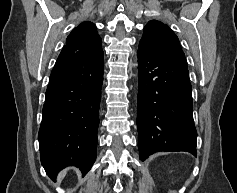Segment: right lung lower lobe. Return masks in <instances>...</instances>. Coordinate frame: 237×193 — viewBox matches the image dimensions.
<instances>
[{
  "mask_svg": "<svg viewBox=\"0 0 237 193\" xmlns=\"http://www.w3.org/2000/svg\"><path fill=\"white\" fill-rule=\"evenodd\" d=\"M103 54L61 52L50 75L38 134L41 163L55 179L74 165L86 175L96 160Z\"/></svg>",
  "mask_w": 237,
  "mask_h": 193,
  "instance_id": "right-lung-lower-lobe-1",
  "label": "right lung lower lobe"
}]
</instances>
